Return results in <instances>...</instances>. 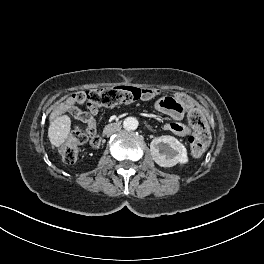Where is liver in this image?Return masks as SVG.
<instances>
[{
  "label": "liver",
  "instance_id": "obj_1",
  "mask_svg": "<svg viewBox=\"0 0 264 264\" xmlns=\"http://www.w3.org/2000/svg\"><path fill=\"white\" fill-rule=\"evenodd\" d=\"M71 120L67 115L51 116L50 125L48 129V138L50 143L58 147L64 143L70 132Z\"/></svg>",
  "mask_w": 264,
  "mask_h": 264
}]
</instances>
